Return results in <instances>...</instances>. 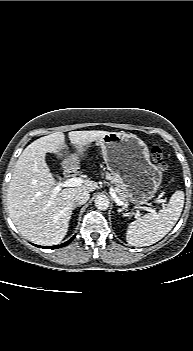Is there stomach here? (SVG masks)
Here are the masks:
<instances>
[{
    "instance_id": "obj_1",
    "label": "stomach",
    "mask_w": 193,
    "mask_h": 351,
    "mask_svg": "<svg viewBox=\"0 0 193 351\" xmlns=\"http://www.w3.org/2000/svg\"><path fill=\"white\" fill-rule=\"evenodd\" d=\"M107 169L122 178L130 201L152 199L162 182V171L151 162L145 142L126 132H109L98 140Z\"/></svg>"
}]
</instances>
